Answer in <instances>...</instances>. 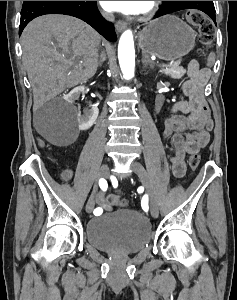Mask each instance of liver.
I'll use <instances>...</instances> for the list:
<instances>
[{
  "label": "liver",
  "mask_w": 237,
  "mask_h": 300,
  "mask_svg": "<svg viewBox=\"0 0 237 300\" xmlns=\"http://www.w3.org/2000/svg\"><path fill=\"white\" fill-rule=\"evenodd\" d=\"M20 39L35 107L49 93L86 83L97 71L102 37L80 19L43 15L25 27Z\"/></svg>",
  "instance_id": "obj_1"
}]
</instances>
